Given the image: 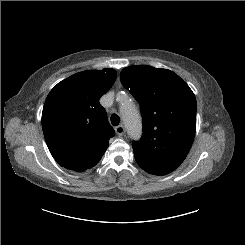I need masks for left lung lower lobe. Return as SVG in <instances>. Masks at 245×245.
Returning <instances> with one entry per match:
<instances>
[{
  "mask_svg": "<svg viewBox=\"0 0 245 245\" xmlns=\"http://www.w3.org/2000/svg\"><path fill=\"white\" fill-rule=\"evenodd\" d=\"M143 170H145L147 173L153 174V175H158V176H162V175H166L171 173L172 169L170 168H166V167H158V168H154V169H149V168H145L141 165H139Z\"/></svg>",
  "mask_w": 245,
  "mask_h": 245,
  "instance_id": "left-lung-lower-lobe-1",
  "label": "left lung lower lobe"
}]
</instances>
